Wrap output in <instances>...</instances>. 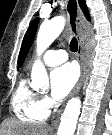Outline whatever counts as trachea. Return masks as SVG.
Wrapping results in <instances>:
<instances>
[{"label": "trachea", "instance_id": "obj_1", "mask_svg": "<svg viewBox=\"0 0 112 135\" xmlns=\"http://www.w3.org/2000/svg\"><path fill=\"white\" fill-rule=\"evenodd\" d=\"M70 5H71V3H70ZM72 6L74 7L73 4H72ZM75 8H76V2H75ZM74 24H75V22H74ZM70 48H71V51H73V52H76L77 49H78V41H77V39L75 37H73L71 39Z\"/></svg>", "mask_w": 112, "mask_h": 135}]
</instances>
